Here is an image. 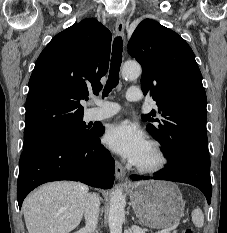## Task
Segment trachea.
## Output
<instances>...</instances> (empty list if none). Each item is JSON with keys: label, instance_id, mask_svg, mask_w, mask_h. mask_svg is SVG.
<instances>
[{"label": "trachea", "instance_id": "1", "mask_svg": "<svg viewBox=\"0 0 227 233\" xmlns=\"http://www.w3.org/2000/svg\"><path fill=\"white\" fill-rule=\"evenodd\" d=\"M122 63V38L116 37L112 47L110 74L103 90V97H106L119 83V71Z\"/></svg>", "mask_w": 227, "mask_h": 233}]
</instances>
